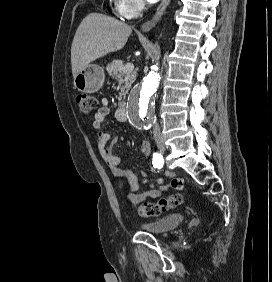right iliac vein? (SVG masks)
I'll use <instances>...</instances> for the list:
<instances>
[{
	"label": "right iliac vein",
	"mask_w": 272,
	"mask_h": 282,
	"mask_svg": "<svg viewBox=\"0 0 272 282\" xmlns=\"http://www.w3.org/2000/svg\"><path fill=\"white\" fill-rule=\"evenodd\" d=\"M157 147H158V150H159L161 153H164V151H165V145H164V142H163V141L157 142Z\"/></svg>",
	"instance_id": "1"
}]
</instances>
